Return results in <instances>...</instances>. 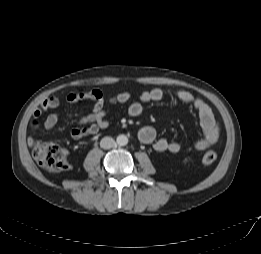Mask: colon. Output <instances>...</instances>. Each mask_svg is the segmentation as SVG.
<instances>
[{
  "instance_id": "5ec220e1",
  "label": "colon",
  "mask_w": 261,
  "mask_h": 254,
  "mask_svg": "<svg viewBox=\"0 0 261 254\" xmlns=\"http://www.w3.org/2000/svg\"><path fill=\"white\" fill-rule=\"evenodd\" d=\"M32 154L36 162L49 172H59L67 167V158L64 149L55 142H35L32 144ZM217 153L214 150L207 151L202 162L205 165L214 163Z\"/></svg>"
}]
</instances>
